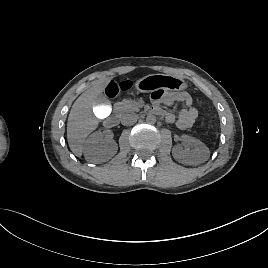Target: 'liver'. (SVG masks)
<instances>
[{"mask_svg":"<svg viewBox=\"0 0 268 268\" xmlns=\"http://www.w3.org/2000/svg\"><path fill=\"white\" fill-rule=\"evenodd\" d=\"M108 82V79H104L94 84L72 105L67 122V140L71 151L78 157L82 155L86 137L98 126L99 120L93 114V109Z\"/></svg>","mask_w":268,"mask_h":268,"instance_id":"6515ba94","label":"liver"}]
</instances>
